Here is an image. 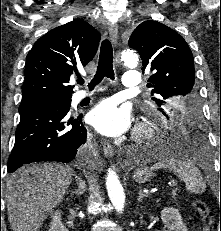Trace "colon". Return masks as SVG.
<instances>
[{"label":"colon","mask_w":221,"mask_h":231,"mask_svg":"<svg viewBox=\"0 0 221 231\" xmlns=\"http://www.w3.org/2000/svg\"><path fill=\"white\" fill-rule=\"evenodd\" d=\"M193 205L202 219L203 231H210L213 223L212 211L202 200H195Z\"/></svg>","instance_id":"1"}]
</instances>
